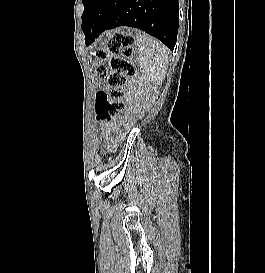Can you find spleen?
Masks as SVG:
<instances>
[{
	"mask_svg": "<svg viewBox=\"0 0 265 273\" xmlns=\"http://www.w3.org/2000/svg\"><path fill=\"white\" fill-rule=\"evenodd\" d=\"M139 63L146 79L161 85L168 68V48L147 34L137 36Z\"/></svg>",
	"mask_w": 265,
	"mask_h": 273,
	"instance_id": "spleen-1",
	"label": "spleen"
}]
</instances>
